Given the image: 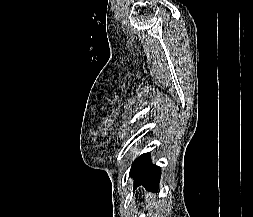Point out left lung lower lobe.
Here are the masks:
<instances>
[{
    "label": "left lung lower lobe",
    "mask_w": 253,
    "mask_h": 217,
    "mask_svg": "<svg viewBox=\"0 0 253 217\" xmlns=\"http://www.w3.org/2000/svg\"><path fill=\"white\" fill-rule=\"evenodd\" d=\"M129 175L134 178V188L143 185L148 190H157L161 168L151 164L150 154L146 153L135 160Z\"/></svg>",
    "instance_id": "obj_1"
}]
</instances>
